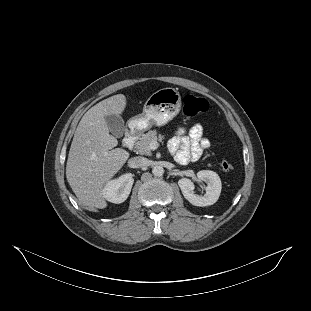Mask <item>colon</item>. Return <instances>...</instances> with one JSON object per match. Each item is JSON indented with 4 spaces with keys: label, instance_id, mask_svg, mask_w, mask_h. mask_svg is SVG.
Listing matches in <instances>:
<instances>
[{
    "label": "colon",
    "instance_id": "colon-1",
    "mask_svg": "<svg viewBox=\"0 0 311 311\" xmlns=\"http://www.w3.org/2000/svg\"><path fill=\"white\" fill-rule=\"evenodd\" d=\"M208 110V103L204 98L195 96L194 94L187 93L183 97V112L189 118H195L203 115ZM221 169L225 172L231 171L233 165L228 160L221 162Z\"/></svg>",
    "mask_w": 311,
    "mask_h": 311
}]
</instances>
